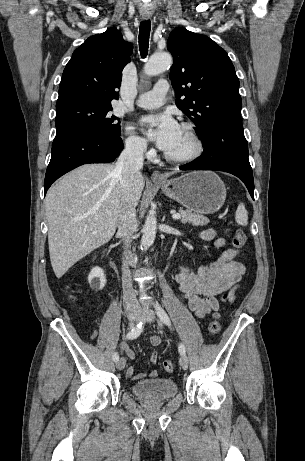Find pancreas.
<instances>
[{"label": "pancreas", "instance_id": "pancreas-1", "mask_svg": "<svg viewBox=\"0 0 305 461\" xmlns=\"http://www.w3.org/2000/svg\"><path fill=\"white\" fill-rule=\"evenodd\" d=\"M181 222L183 224H192L193 226H204L209 223V219L201 214H195L189 210H179Z\"/></svg>", "mask_w": 305, "mask_h": 461}]
</instances>
